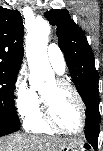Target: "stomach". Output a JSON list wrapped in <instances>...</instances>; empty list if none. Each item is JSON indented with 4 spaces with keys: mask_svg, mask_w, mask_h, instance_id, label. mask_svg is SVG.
<instances>
[{
    "mask_svg": "<svg viewBox=\"0 0 103 151\" xmlns=\"http://www.w3.org/2000/svg\"><path fill=\"white\" fill-rule=\"evenodd\" d=\"M85 145L81 140H77L75 142H70L68 144L63 145L59 148L58 151H84Z\"/></svg>",
    "mask_w": 103,
    "mask_h": 151,
    "instance_id": "stomach-1",
    "label": "stomach"
}]
</instances>
